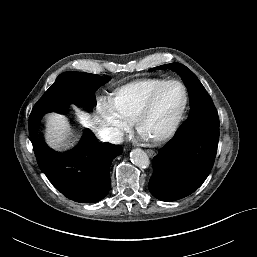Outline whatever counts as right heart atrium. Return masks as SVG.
Returning <instances> with one entry per match:
<instances>
[{
  "mask_svg": "<svg viewBox=\"0 0 257 257\" xmlns=\"http://www.w3.org/2000/svg\"><path fill=\"white\" fill-rule=\"evenodd\" d=\"M100 114V128L107 134L110 140H118L131 127V120L118 110L111 98H104L98 105Z\"/></svg>",
  "mask_w": 257,
  "mask_h": 257,
  "instance_id": "obj_1",
  "label": "right heart atrium"
}]
</instances>
